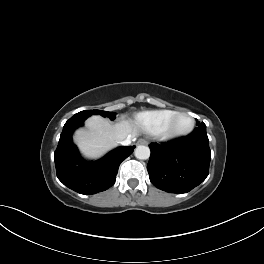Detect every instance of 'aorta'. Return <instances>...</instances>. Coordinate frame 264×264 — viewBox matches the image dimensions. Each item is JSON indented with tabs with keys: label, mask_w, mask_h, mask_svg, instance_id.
Here are the masks:
<instances>
[{
	"label": "aorta",
	"mask_w": 264,
	"mask_h": 264,
	"mask_svg": "<svg viewBox=\"0 0 264 264\" xmlns=\"http://www.w3.org/2000/svg\"><path fill=\"white\" fill-rule=\"evenodd\" d=\"M134 155L137 159L146 160L150 157V149L148 146L139 145L136 147Z\"/></svg>",
	"instance_id": "762f6f07"
}]
</instances>
